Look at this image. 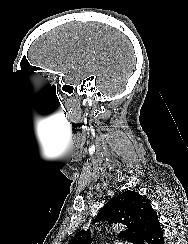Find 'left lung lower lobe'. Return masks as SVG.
<instances>
[{"instance_id":"0a47b994","label":"left lung lower lobe","mask_w":188,"mask_h":244,"mask_svg":"<svg viewBox=\"0 0 188 244\" xmlns=\"http://www.w3.org/2000/svg\"><path fill=\"white\" fill-rule=\"evenodd\" d=\"M142 244H164V237L156 212L150 216Z\"/></svg>"}]
</instances>
